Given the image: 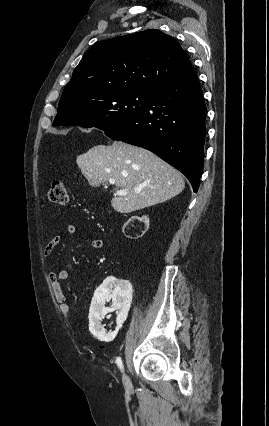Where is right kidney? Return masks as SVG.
<instances>
[{"instance_id": "obj_1", "label": "right kidney", "mask_w": 269, "mask_h": 426, "mask_svg": "<svg viewBox=\"0 0 269 426\" xmlns=\"http://www.w3.org/2000/svg\"><path fill=\"white\" fill-rule=\"evenodd\" d=\"M131 221L143 222L140 225V233L138 238H143V234L147 232L150 221L147 217L130 216L129 220L124 223L122 232L125 233V229ZM128 238H132L127 236ZM112 298V308L105 307V301ZM132 299V286L126 280H119L113 277L107 278L100 287L95 291L92 299L90 313H89V331L91 334L101 341L112 340L119 327L126 320L127 313L130 307ZM112 309H118L119 314L117 316V329L112 334H107L104 325L101 324L100 320Z\"/></svg>"}]
</instances>
